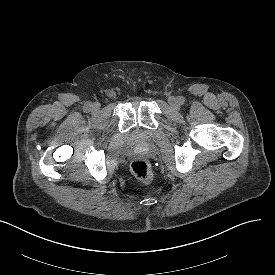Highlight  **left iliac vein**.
<instances>
[{
	"instance_id": "1",
	"label": "left iliac vein",
	"mask_w": 275,
	"mask_h": 275,
	"mask_svg": "<svg viewBox=\"0 0 275 275\" xmlns=\"http://www.w3.org/2000/svg\"><path fill=\"white\" fill-rule=\"evenodd\" d=\"M168 103H169L170 106H171L173 109H175V110H177V109L179 108V106H180L178 99L175 98V97H173V96H172V97H169Z\"/></svg>"
}]
</instances>
